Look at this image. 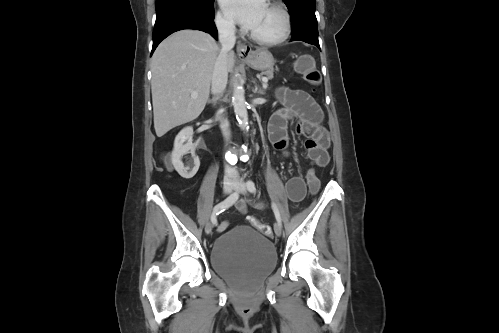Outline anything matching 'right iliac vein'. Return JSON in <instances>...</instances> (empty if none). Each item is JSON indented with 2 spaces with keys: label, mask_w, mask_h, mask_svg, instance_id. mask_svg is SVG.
Masks as SVG:
<instances>
[{
  "label": "right iliac vein",
  "mask_w": 499,
  "mask_h": 333,
  "mask_svg": "<svg viewBox=\"0 0 499 333\" xmlns=\"http://www.w3.org/2000/svg\"><path fill=\"white\" fill-rule=\"evenodd\" d=\"M234 187V181L231 178H225L223 183V192L224 194H230ZM212 231V223L208 222L205 226L206 234H210Z\"/></svg>",
  "instance_id": "obj_1"
}]
</instances>
